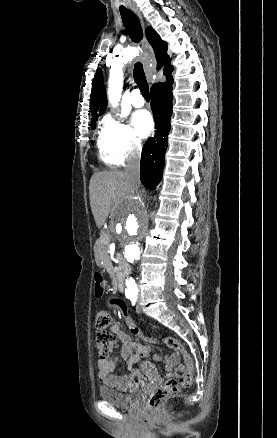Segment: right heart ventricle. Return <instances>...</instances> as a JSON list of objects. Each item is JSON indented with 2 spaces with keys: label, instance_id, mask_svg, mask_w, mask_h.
Here are the masks:
<instances>
[{
  "label": "right heart ventricle",
  "instance_id": "e07e8e85",
  "mask_svg": "<svg viewBox=\"0 0 277 438\" xmlns=\"http://www.w3.org/2000/svg\"><path fill=\"white\" fill-rule=\"evenodd\" d=\"M109 124L99 133L98 148L101 161L109 167L115 168L120 165L122 158L115 149L112 136L108 129Z\"/></svg>",
  "mask_w": 277,
  "mask_h": 438
}]
</instances>
